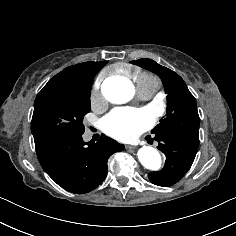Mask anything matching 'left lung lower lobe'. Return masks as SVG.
Instances as JSON below:
<instances>
[{"instance_id":"obj_1","label":"left lung lower lobe","mask_w":236,"mask_h":236,"mask_svg":"<svg viewBox=\"0 0 236 236\" xmlns=\"http://www.w3.org/2000/svg\"><path fill=\"white\" fill-rule=\"evenodd\" d=\"M154 139L158 141V149L165 154L166 161L161 171L151 172L148 177L155 185L172 186L191 167L199 147V139L174 132L163 133Z\"/></svg>"}]
</instances>
